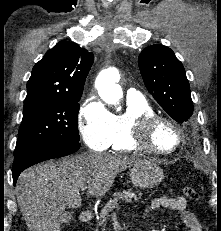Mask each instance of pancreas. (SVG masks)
Returning a JSON list of instances; mask_svg holds the SVG:
<instances>
[{"label":"pancreas","mask_w":221,"mask_h":231,"mask_svg":"<svg viewBox=\"0 0 221 231\" xmlns=\"http://www.w3.org/2000/svg\"><path fill=\"white\" fill-rule=\"evenodd\" d=\"M142 194L137 192H132L131 189L128 191H120L118 193L113 194V198H111L104 206V208L100 212V222L99 226H106V222L108 220L109 214L116 208H118V203L124 201L126 203H131L133 200L137 201L141 198Z\"/></svg>","instance_id":"pancreas-1"}]
</instances>
